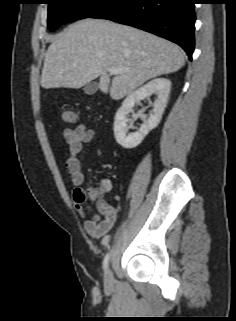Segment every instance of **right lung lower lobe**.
Masks as SVG:
<instances>
[{
    "label": "right lung lower lobe",
    "instance_id": "98d812e1",
    "mask_svg": "<svg viewBox=\"0 0 236 321\" xmlns=\"http://www.w3.org/2000/svg\"><path fill=\"white\" fill-rule=\"evenodd\" d=\"M196 0H111L91 18L108 19L153 33L194 51Z\"/></svg>",
    "mask_w": 236,
    "mask_h": 321
}]
</instances>
